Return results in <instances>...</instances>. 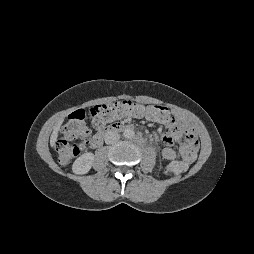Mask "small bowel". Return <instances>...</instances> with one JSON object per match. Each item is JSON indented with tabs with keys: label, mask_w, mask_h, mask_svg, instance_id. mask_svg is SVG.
<instances>
[{
	"label": "small bowel",
	"mask_w": 254,
	"mask_h": 254,
	"mask_svg": "<svg viewBox=\"0 0 254 254\" xmlns=\"http://www.w3.org/2000/svg\"><path fill=\"white\" fill-rule=\"evenodd\" d=\"M164 127V132L153 133V137L162 147V156L166 160H174L178 157L175 150L169 147L170 144H178L180 155L186 163H193L198 152V137L192 124L184 117L171 115L168 112L167 118L156 120Z\"/></svg>",
	"instance_id": "c3829d8e"
}]
</instances>
